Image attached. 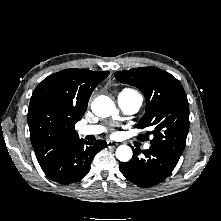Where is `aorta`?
Wrapping results in <instances>:
<instances>
[{"mask_svg": "<svg viewBox=\"0 0 221 221\" xmlns=\"http://www.w3.org/2000/svg\"><path fill=\"white\" fill-rule=\"evenodd\" d=\"M91 108L93 113L99 117H108L117 113L114 102L104 95L95 98ZM132 154V149L127 145H121L116 150V157L121 162H128L132 158Z\"/></svg>", "mask_w": 221, "mask_h": 221, "instance_id": "762f6f07", "label": "aorta"}]
</instances>
